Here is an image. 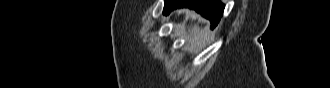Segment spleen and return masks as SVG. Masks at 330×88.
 <instances>
[{"instance_id":"3e777b00","label":"spleen","mask_w":330,"mask_h":88,"mask_svg":"<svg viewBox=\"0 0 330 88\" xmlns=\"http://www.w3.org/2000/svg\"><path fill=\"white\" fill-rule=\"evenodd\" d=\"M179 37H186L188 41L195 45L199 43H207L210 38V30L208 27L200 28L198 25H194L189 30V34L185 36V34H178Z\"/></svg>"}]
</instances>
